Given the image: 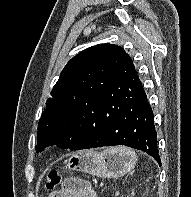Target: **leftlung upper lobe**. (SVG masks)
I'll return each mask as SVG.
<instances>
[{"instance_id":"5c2ea615","label":"left lung upper lobe","mask_w":191,"mask_h":197,"mask_svg":"<svg viewBox=\"0 0 191 197\" xmlns=\"http://www.w3.org/2000/svg\"><path fill=\"white\" fill-rule=\"evenodd\" d=\"M136 74L130 56L114 44L92 46L73 57L46 102L38 124L36 151L49 145L65 149V130L73 127L77 114L91 112L101 94Z\"/></svg>"}]
</instances>
